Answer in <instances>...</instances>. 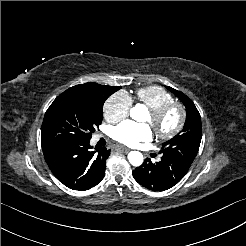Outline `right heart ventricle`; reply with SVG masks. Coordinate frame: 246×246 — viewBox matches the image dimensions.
I'll use <instances>...</instances> for the list:
<instances>
[{"instance_id":"obj_1","label":"right heart ventricle","mask_w":246,"mask_h":246,"mask_svg":"<svg viewBox=\"0 0 246 246\" xmlns=\"http://www.w3.org/2000/svg\"><path fill=\"white\" fill-rule=\"evenodd\" d=\"M135 98L140 105L146 106L149 110L156 109L166 103L175 102L174 96L158 85L139 88L135 92Z\"/></svg>"}]
</instances>
